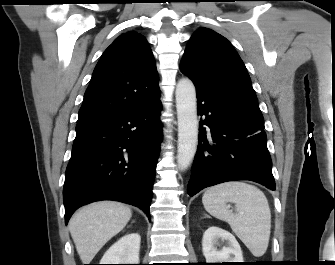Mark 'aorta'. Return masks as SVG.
I'll list each match as a JSON object with an SVG mask.
<instances>
[{
    "label": "aorta",
    "mask_w": 335,
    "mask_h": 265,
    "mask_svg": "<svg viewBox=\"0 0 335 265\" xmlns=\"http://www.w3.org/2000/svg\"><path fill=\"white\" fill-rule=\"evenodd\" d=\"M175 95L178 119L177 163L181 170H185L195 156L198 143L197 103L193 82L188 78L179 80Z\"/></svg>",
    "instance_id": "762f6f07"
}]
</instances>
